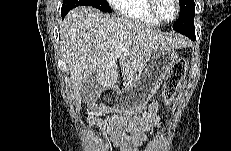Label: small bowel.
Returning a JSON list of instances; mask_svg holds the SVG:
<instances>
[{
  "instance_id": "small-bowel-1",
  "label": "small bowel",
  "mask_w": 231,
  "mask_h": 151,
  "mask_svg": "<svg viewBox=\"0 0 231 151\" xmlns=\"http://www.w3.org/2000/svg\"><path fill=\"white\" fill-rule=\"evenodd\" d=\"M158 105L153 103L142 116L131 119L114 116L105 123L90 119V124L103 126L113 147L120 151H139L146 140L145 133L152 129L158 121L156 115Z\"/></svg>"
}]
</instances>
